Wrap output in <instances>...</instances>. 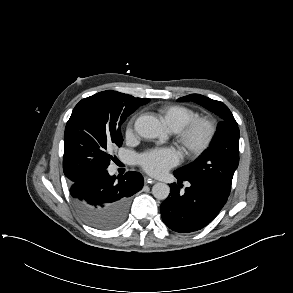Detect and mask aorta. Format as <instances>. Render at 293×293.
<instances>
[{
    "mask_svg": "<svg viewBox=\"0 0 293 293\" xmlns=\"http://www.w3.org/2000/svg\"><path fill=\"white\" fill-rule=\"evenodd\" d=\"M135 130L143 138L146 139H160L164 140L166 135L164 133L161 122L154 116L141 115L135 121ZM170 193V187L158 182L152 187V194L156 199L165 200Z\"/></svg>",
    "mask_w": 293,
    "mask_h": 293,
    "instance_id": "762f6f07",
    "label": "aorta"
}]
</instances>
